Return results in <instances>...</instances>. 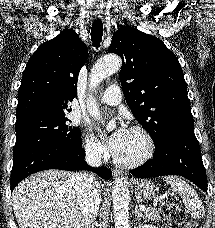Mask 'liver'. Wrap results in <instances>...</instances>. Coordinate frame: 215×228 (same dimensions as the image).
<instances>
[{"instance_id":"6515ba94","label":"liver","mask_w":215,"mask_h":228,"mask_svg":"<svg viewBox=\"0 0 215 228\" xmlns=\"http://www.w3.org/2000/svg\"><path fill=\"white\" fill-rule=\"evenodd\" d=\"M74 176L44 170L20 182L12 194L19 228H81Z\"/></svg>"}]
</instances>
